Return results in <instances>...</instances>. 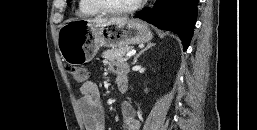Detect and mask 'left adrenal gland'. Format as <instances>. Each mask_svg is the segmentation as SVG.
I'll use <instances>...</instances> for the list:
<instances>
[{
  "label": "left adrenal gland",
  "mask_w": 257,
  "mask_h": 130,
  "mask_svg": "<svg viewBox=\"0 0 257 130\" xmlns=\"http://www.w3.org/2000/svg\"><path fill=\"white\" fill-rule=\"evenodd\" d=\"M153 46H155V44H153V43H148L147 46H146L144 49H142V50L135 56V58H134L132 64H133V65L136 64L137 59L141 56V54H143L145 51H147L148 49L152 48Z\"/></svg>",
  "instance_id": "a2214340"
}]
</instances>
